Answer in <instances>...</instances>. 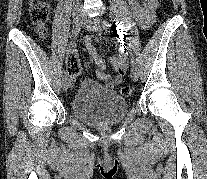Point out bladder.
<instances>
[{
  "mask_svg": "<svg viewBox=\"0 0 207 179\" xmlns=\"http://www.w3.org/2000/svg\"><path fill=\"white\" fill-rule=\"evenodd\" d=\"M70 108L81 121L102 126L123 119L128 112L129 102L115 91L86 80L71 99Z\"/></svg>",
  "mask_w": 207,
  "mask_h": 179,
  "instance_id": "bladder-1",
  "label": "bladder"
}]
</instances>
